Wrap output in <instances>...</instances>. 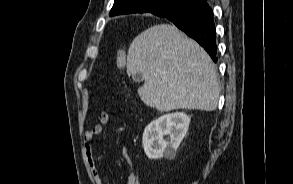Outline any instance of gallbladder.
<instances>
[{"instance_id":"gallbladder-1","label":"gallbladder","mask_w":293,"mask_h":184,"mask_svg":"<svg viewBox=\"0 0 293 184\" xmlns=\"http://www.w3.org/2000/svg\"><path fill=\"white\" fill-rule=\"evenodd\" d=\"M132 79L134 82H141L143 80V76L141 73H135L133 76H132Z\"/></svg>"}]
</instances>
